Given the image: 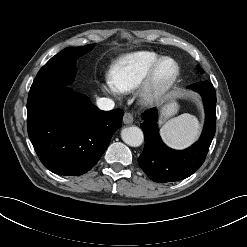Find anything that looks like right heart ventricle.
I'll use <instances>...</instances> for the list:
<instances>
[{"mask_svg": "<svg viewBox=\"0 0 247 247\" xmlns=\"http://www.w3.org/2000/svg\"><path fill=\"white\" fill-rule=\"evenodd\" d=\"M161 56L150 51H137L119 58L111 70V82L121 92L134 90Z\"/></svg>", "mask_w": 247, "mask_h": 247, "instance_id": "1", "label": "right heart ventricle"}]
</instances>
